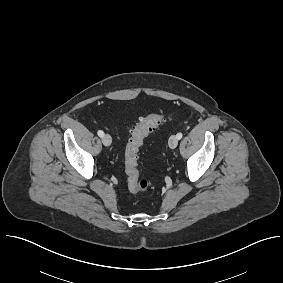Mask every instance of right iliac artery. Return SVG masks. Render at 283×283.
I'll return each mask as SVG.
<instances>
[{
  "instance_id": "obj_1",
  "label": "right iliac artery",
  "mask_w": 283,
  "mask_h": 283,
  "mask_svg": "<svg viewBox=\"0 0 283 283\" xmlns=\"http://www.w3.org/2000/svg\"><path fill=\"white\" fill-rule=\"evenodd\" d=\"M97 134H98V136H100V137H103V136H104V132H103L102 130H99V131L97 132Z\"/></svg>"
}]
</instances>
